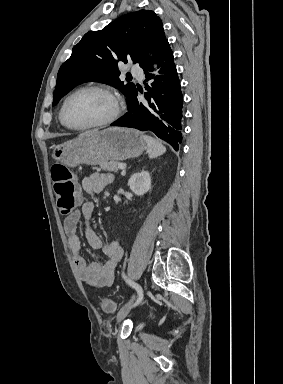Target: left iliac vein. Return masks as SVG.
<instances>
[{"instance_id":"obj_1","label":"left iliac vein","mask_w":283,"mask_h":384,"mask_svg":"<svg viewBox=\"0 0 283 384\" xmlns=\"http://www.w3.org/2000/svg\"><path fill=\"white\" fill-rule=\"evenodd\" d=\"M134 298H135V295H132L129 302L123 308H121V310L118 312V314H117V322L118 323L121 322L130 312V310L132 308L131 303L133 302Z\"/></svg>"}]
</instances>
